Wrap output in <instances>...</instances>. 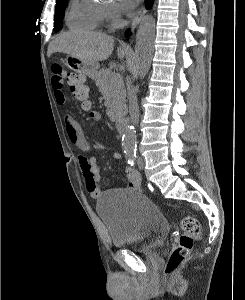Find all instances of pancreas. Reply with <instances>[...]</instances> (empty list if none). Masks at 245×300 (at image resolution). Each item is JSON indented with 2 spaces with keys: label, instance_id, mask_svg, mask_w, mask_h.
Segmentation results:
<instances>
[{
  "label": "pancreas",
  "instance_id": "pancreas-1",
  "mask_svg": "<svg viewBox=\"0 0 245 300\" xmlns=\"http://www.w3.org/2000/svg\"><path fill=\"white\" fill-rule=\"evenodd\" d=\"M95 82L105 97L107 115L115 121L126 110V93L122 76L111 70L102 69L97 73Z\"/></svg>",
  "mask_w": 245,
  "mask_h": 300
}]
</instances>
